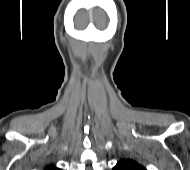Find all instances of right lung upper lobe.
I'll list each match as a JSON object with an SVG mask.
<instances>
[{
	"instance_id": "cb5924a9",
	"label": "right lung upper lobe",
	"mask_w": 190,
	"mask_h": 170,
	"mask_svg": "<svg viewBox=\"0 0 190 170\" xmlns=\"http://www.w3.org/2000/svg\"><path fill=\"white\" fill-rule=\"evenodd\" d=\"M45 170H61V169L56 168L55 166L51 165V166H48Z\"/></svg>"
}]
</instances>
